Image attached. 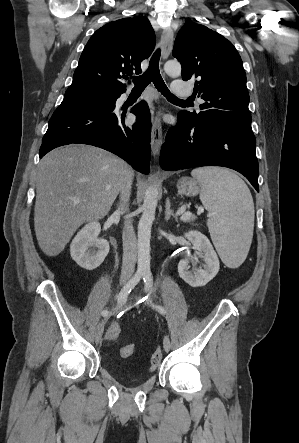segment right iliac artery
Here are the masks:
<instances>
[{
	"label": "right iliac artery",
	"mask_w": 299,
	"mask_h": 443,
	"mask_svg": "<svg viewBox=\"0 0 299 443\" xmlns=\"http://www.w3.org/2000/svg\"><path fill=\"white\" fill-rule=\"evenodd\" d=\"M142 276H143V273L137 272L128 281V283L121 289V291H120V293H119V295L117 297V303H118L119 307H121L122 305H124L126 303L128 295L130 294L132 289L138 284V282L140 281ZM101 314H102L103 317H108L110 315L108 310H103Z\"/></svg>",
	"instance_id": "obj_1"
}]
</instances>
